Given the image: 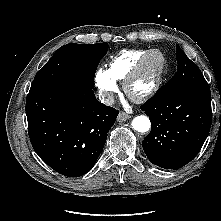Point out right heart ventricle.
I'll return each instance as SVG.
<instances>
[{"label": "right heart ventricle", "instance_id": "e07e8e85", "mask_svg": "<svg viewBox=\"0 0 221 221\" xmlns=\"http://www.w3.org/2000/svg\"><path fill=\"white\" fill-rule=\"evenodd\" d=\"M147 50H122L109 63L108 70L116 80H124L137 61Z\"/></svg>", "mask_w": 221, "mask_h": 221}]
</instances>
